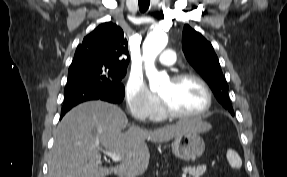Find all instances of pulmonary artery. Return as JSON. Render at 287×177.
<instances>
[{"label": "pulmonary artery", "instance_id": "e3ab8cb5", "mask_svg": "<svg viewBox=\"0 0 287 177\" xmlns=\"http://www.w3.org/2000/svg\"><path fill=\"white\" fill-rule=\"evenodd\" d=\"M159 62L161 65L164 66H171L175 62V52L173 49H166L164 50L161 55Z\"/></svg>", "mask_w": 287, "mask_h": 177}]
</instances>
